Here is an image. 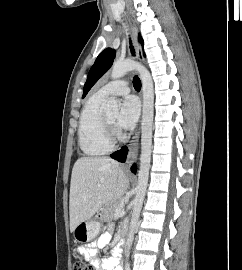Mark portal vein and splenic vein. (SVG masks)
Returning <instances> with one entry per match:
<instances>
[{
    "label": "portal vein and splenic vein",
    "instance_id": "portal-vein-and-splenic-vein-1",
    "mask_svg": "<svg viewBox=\"0 0 242 270\" xmlns=\"http://www.w3.org/2000/svg\"><path fill=\"white\" fill-rule=\"evenodd\" d=\"M125 212H124V209H123V205L119 206L116 208L115 210V215H123Z\"/></svg>",
    "mask_w": 242,
    "mask_h": 270
}]
</instances>
